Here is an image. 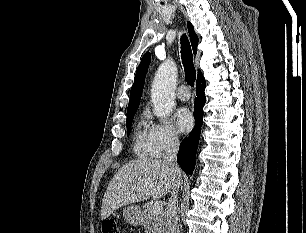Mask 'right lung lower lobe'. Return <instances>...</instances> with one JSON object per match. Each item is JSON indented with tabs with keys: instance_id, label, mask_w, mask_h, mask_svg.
I'll list each match as a JSON object with an SVG mask.
<instances>
[{
	"instance_id": "obj_1",
	"label": "right lung lower lobe",
	"mask_w": 306,
	"mask_h": 233,
	"mask_svg": "<svg viewBox=\"0 0 306 233\" xmlns=\"http://www.w3.org/2000/svg\"><path fill=\"white\" fill-rule=\"evenodd\" d=\"M196 86L197 97L195 98L194 109L196 126L195 129L189 134V137L184 138L182 141L179 154L177 155L178 164L187 174H192L195 168V156L203 120V106L206 101L204 94L206 82L202 74L198 75Z\"/></svg>"
}]
</instances>
